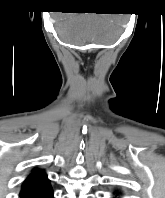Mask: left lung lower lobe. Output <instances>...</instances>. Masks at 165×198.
<instances>
[{
    "mask_svg": "<svg viewBox=\"0 0 165 198\" xmlns=\"http://www.w3.org/2000/svg\"><path fill=\"white\" fill-rule=\"evenodd\" d=\"M114 194H115V195H119V193H118V192H114Z\"/></svg>",
    "mask_w": 165,
    "mask_h": 198,
    "instance_id": "obj_1",
    "label": "left lung lower lobe"
}]
</instances>
